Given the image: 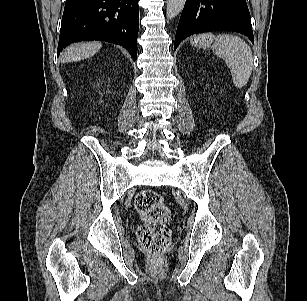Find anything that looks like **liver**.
<instances>
[{"mask_svg": "<svg viewBox=\"0 0 307 301\" xmlns=\"http://www.w3.org/2000/svg\"><path fill=\"white\" fill-rule=\"evenodd\" d=\"M102 47L99 42H86L67 47L61 55V62L68 63L93 56Z\"/></svg>", "mask_w": 307, "mask_h": 301, "instance_id": "6515ba94", "label": "liver"}]
</instances>
